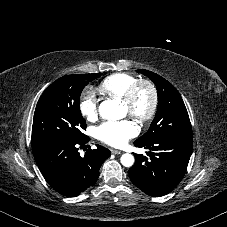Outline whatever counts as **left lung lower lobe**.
Segmentation results:
<instances>
[{
	"instance_id": "0a47b994",
	"label": "left lung lower lobe",
	"mask_w": 227,
	"mask_h": 227,
	"mask_svg": "<svg viewBox=\"0 0 227 227\" xmlns=\"http://www.w3.org/2000/svg\"><path fill=\"white\" fill-rule=\"evenodd\" d=\"M149 151L146 156L135 154V164L129 169L132 183L151 196L170 193L181 181L192 152V135L163 138L151 143H135Z\"/></svg>"
}]
</instances>
